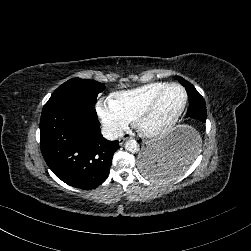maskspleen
Returning a JSON list of instances; mask_svg holds the SVG:
<instances>
[{
	"label": "spleen",
	"instance_id": "1",
	"mask_svg": "<svg viewBox=\"0 0 251 251\" xmlns=\"http://www.w3.org/2000/svg\"><path fill=\"white\" fill-rule=\"evenodd\" d=\"M201 146V138L196 141L193 151H190L186 153L184 157L181 158V163L182 166L181 168H176V169H169L164 167V169H157L154 168L148 172V177L154 178V181H169L173 178H177L183 174L184 171H186L187 167L192 163L193 161V156L195 153H197L200 149Z\"/></svg>",
	"mask_w": 251,
	"mask_h": 251
}]
</instances>
